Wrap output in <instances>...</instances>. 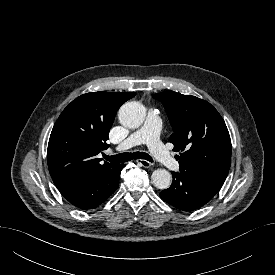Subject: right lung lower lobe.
<instances>
[{"label": "right lung lower lobe", "mask_w": 275, "mask_h": 275, "mask_svg": "<svg viewBox=\"0 0 275 275\" xmlns=\"http://www.w3.org/2000/svg\"><path fill=\"white\" fill-rule=\"evenodd\" d=\"M124 167V164L114 165L91 179L60 189V193L80 209H94L118 188L120 173Z\"/></svg>", "instance_id": "obj_1"}]
</instances>
